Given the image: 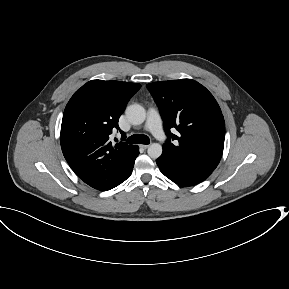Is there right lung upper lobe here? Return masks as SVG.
<instances>
[{"label":"right lung upper lobe","instance_id":"obj_1","mask_svg":"<svg viewBox=\"0 0 289 289\" xmlns=\"http://www.w3.org/2000/svg\"><path fill=\"white\" fill-rule=\"evenodd\" d=\"M141 85L121 81L92 80L78 89L66 105L60 142L63 155L89 186L111 189L129 166L136 145H112L109 135L129 99Z\"/></svg>","mask_w":289,"mask_h":289}]
</instances>
